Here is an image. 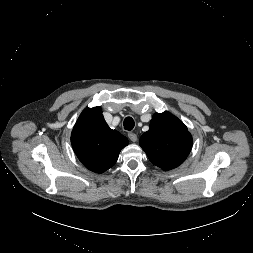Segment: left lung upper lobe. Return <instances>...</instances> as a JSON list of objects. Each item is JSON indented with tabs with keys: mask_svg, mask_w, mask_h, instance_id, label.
Masks as SVG:
<instances>
[{
	"mask_svg": "<svg viewBox=\"0 0 253 253\" xmlns=\"http://www.w3.org/2000/svg\"><path fill=\"white\" fill-rule=\"evenodd\" d=\"M139 144L154 165L167 171L178 167L187 158L192 148V136L187 127L169 112L155 113Z\"/></svg>",
	"mask_w": 253,
	"mask_h": 253,
	"instance_id": "left-lung-upper-lobe-1",
	"label": "left lung upper lobe"
}]
</instances>
